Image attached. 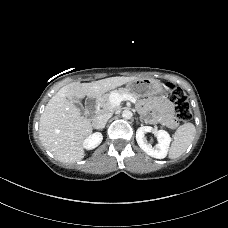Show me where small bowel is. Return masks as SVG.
I'll list each match as a JSON object with an SVG mask.
<instances>
[{
    "mask_svg": "<svg viewBox=\"0 0 228 228\" xmlns=\"http://www.w3.org/2000/svg\"><path fill=\"white\" fill-rule=\"evenodd\" d=\"M171 109V103L164 97L155 98L150 102L151 116L161 120L163 123H168V114Z\"/></svg>",
    "mask_w": 228,
    "mask_h": 228,
    "instance_id": "1",
    "label": "small bowel"
}]
</instances>
